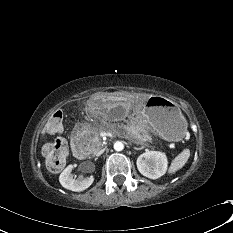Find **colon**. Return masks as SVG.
I'll list each match as a JSON object with an SVG mask.
<instances>
[{
	"instance_id": "obj_1",
	"label": "colon",
	"mask_w": 233,
	"mask_h": 233,
	"mask_svg": "<svg viewBox=\"0 0 233 233\" xmlns=\"http://www.w3.org/2000/svg\"><path fill=\"white\" fill-rule=\"evenodd\" d=\"M62 129L63 113L58 110L50 116L44 127V132L48 135H56L61 133ZM67 152V143L62 138L46 143L43 147V153L46 158L48 168L52 171L61 169L65 164Z\"/></svg>"
}]
</instances>
